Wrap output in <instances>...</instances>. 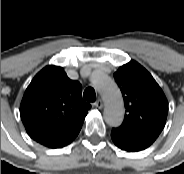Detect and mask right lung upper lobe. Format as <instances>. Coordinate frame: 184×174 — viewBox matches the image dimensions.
I'll list each match as a JSON object with an SVG mask.
<instances>
[{"instance_id":"obj_1","label":"right lung upper lobe","mask_w":184,"mask_h":174,"mask_svg":"<svg viewBox=\"0 0 184 174\" xmlns=\"http://www.w3.org/2000/svg\"><path fill=\"white\" fill-rule=\"evenodd\" d=\"M82 86L62 67L48 65L27 87L20 115L28 135L57 148L80 131L91 105L82 99Z\"/></svg>"}]
</instances>
